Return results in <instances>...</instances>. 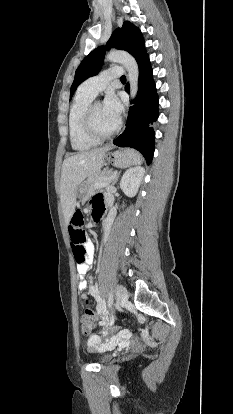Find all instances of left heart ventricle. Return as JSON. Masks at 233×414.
<instances>
[{"mask_svg":"<svg viewBox=\"0 0 233 414\" xmlns=\"http://www.w3.org/2000/svg\"><path fill=\"white\" fill-rule=\"evenodd\" d=\"M92 116L94 127L99 133H108L116 126L117 121L110 118L104 112L101 104L94 105Z\"/></svg>","mask_w":233,"mask_h":414,"instance_id":"left-heart-ventricle-1","label":"left heart ventricle"}]
</instances>
